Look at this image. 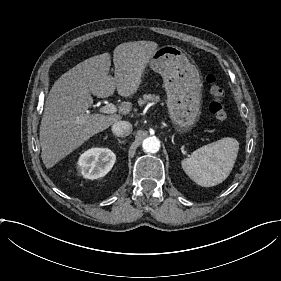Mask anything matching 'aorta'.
<instances>
[{
	"mask_svg": "<svg viewBox=\"0 0 281 281\" xmlns=\"http://www.w3.org/2000/svg\"><path fill=\"white\" fill-rule=\"evenodd\" d=\"M143 150L148 153H156L160 149V141L157 137L151 136L144 139Z\"/></svg>",
	"mask_w": 281,
	"mask_h": 281,
	"instance_id": "762f6f07",
	"label": "aorta"
}]
</instances>
